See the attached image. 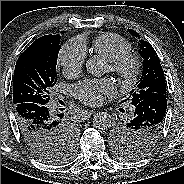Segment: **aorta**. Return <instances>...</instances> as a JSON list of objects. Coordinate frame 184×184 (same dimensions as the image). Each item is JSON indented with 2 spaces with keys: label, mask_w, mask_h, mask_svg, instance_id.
I'll use <instances>...</instances> for the list:
<instances>
[{
  "label": "aorta",
  "mask_w": 184,
  "mask_h": 184,
  "mask_svg": "<svg viewBox=\"0 0 184 184\" xmlns=\"http://www.w3.org/2000/svg\"><path fill=\"white\" fill-rule=\"evenodd\" d=\"M85 67L88 73L94 76H101L104 74L103 64L96 58H89ZM112 117L107 112H98L93 116V125L99 130H105L111 126Z\"/></svg>",
  "instance_id": "aorta-1"
}]
</instances>
